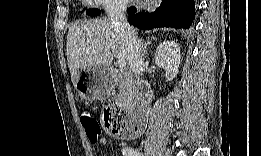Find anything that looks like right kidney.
I'll return each instance as SVG.
<instances>
[{
    "label": "right kidney",
    "mask_w": 261,
    "mask_h": 156,
    "mask_svg": "<svg viewBox=\"0 0 261 156\" xmlns=\"http://www.w3.org/2000/svg\"><path fill=\"white\" fill-rule=\"evenodd\" d=\"M154 60L158 67L165 69L166 80L172 81L181 63L180 48L174 41H163L156 49Z\"/></svg>",
    "instance_id": "1"
}]
</instances>
